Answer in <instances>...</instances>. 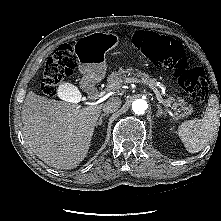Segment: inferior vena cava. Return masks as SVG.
I'll use <instances>...</instances> for the list:
<instances>
[{
    "instance_id": "1",
    "label": "inferior vena cava",
    "mask_w": 221,
    "mask_h": 221,
    "mask_svg": "<svg viewBox=\"0 0 221 221\" xmlns=\"http://www.w3.org/2000/svg\"><path fill=\"white\" fill-rule=\"evenodd\" d=\"M121 106V99L113 97L103 104V112L109 114L117 111Z\"/></svg>"
}]
</instances>
